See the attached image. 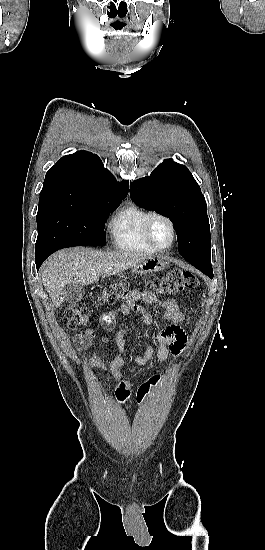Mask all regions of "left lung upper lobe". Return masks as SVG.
<instances>
[{"mask_svg":"<svg viewBox=\"0 0 265 550\" xmlns=\"http://www.w3.org/2000/svg\"><path fill=\"white\" fill-rule=\"evenodd\" d=\"M130 196L137 205L172 221L185 260L211 255L206 201L186 166L165 160L150 176L130 183Z\"/></svg>","mask_w":265,"mask_h":550,"instance_id":"5c2ea615","label":"left lung upper lobe"}]
</instances>
